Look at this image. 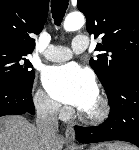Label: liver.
Instances as JSON below:
<instances>
[{
	"label": "liver",
	"mask_w": 139,
	"mask_h": 150,
	"mask_svg": "<svg viewBox=\"0 0 139 150\" xmlns=\"http://www.w3.org/2000/svg\"><path fill=\"white\" fill-rule=\"evenodd\" d=\"M63 138L56 136L52 150H62ZM36 127L22 116L0 118V150H43Z\"/></svg>",
	"instance_id": "liver-1"
}]
</instances>
